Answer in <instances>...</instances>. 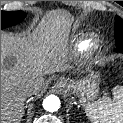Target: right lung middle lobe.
<instances>
[{"instance_id": "1", "label": "right lung middle lobe", "mask_w": 123, "mask_h": 123, "mask_svg": "<svg viewBox=\"0 0 123 123\" xmlns=\"http://www.w3.org/2000/svg\"><path fill=\"white\" fill-rule=\"evenodd\" d=\"M26 17L23 11H1V29L16 25Z\"/></svg>"}]
</instances>
